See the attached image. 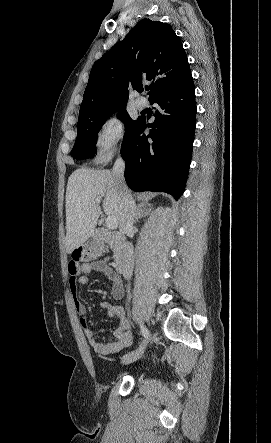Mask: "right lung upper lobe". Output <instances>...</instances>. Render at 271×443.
<instances>
[{
  "label": "right lung upper lobe",
  "mask_w": 271,
  "mask_h": 443,
  "mask_svg": "<svg viewBox=\"0 0 271 443\" xmlns=\"http://www.w3.org/2000/svg\"><path fill=\"white\" fill-rule=\"evenodd\" d=\"M191 78L187 56L172 27L143 19L93 65L79 119L103 116L126 106L128 87L138 90L143 80L153 79L150 101Z\"/></svg>",
  "instance_id": "cb5924a9"
}]
</instances>
